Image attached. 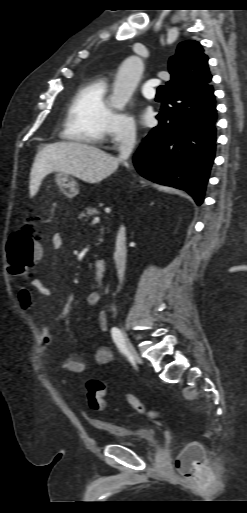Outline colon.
Instances as JSON below:
<instances>
[{"label":"colon","mask_w":247,"mask_h":513,"mask_svg":"<svg viewBox=\"0 0 247 513\" xmlns=\"http://www.w3.org/2000/svg\"><path fill=\"white\" fill-rule=\"evenodd\" d=\"M37 232V222L28 221L10 236L7 256L8 270L12 277L26 278L31 274L33 264L41 252L36 238ZM86 388L90 407L102 410L108 392L107 385L99 378H91L87 381ZM124 399L132 410L142 415L154 418L158 414L132 393H125ZM202 458L201 446L198 443H190L177 456L176 471L182 476L189 477L200 469Z\"/></svg>","instance_id":"colon-1"}]
</instances>
